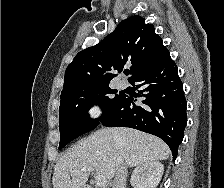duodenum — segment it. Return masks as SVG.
Here are the masks:
<instances>
[{
  "label": "duodenum",
  "mask_w": 224,
  "mask_h": 188,
  "mask_svg": "<svg viewBox=\"0 0 224 188\" xmlns=\"http://www.w3.org/2000/svg\"><path fill=\"white\" fill-rule=\"evenodd\" d=\"M86 188H92V187H90V186H87Z\"/></svg>",
  "instance_id": "duodenum-1"
}]
</instances>
